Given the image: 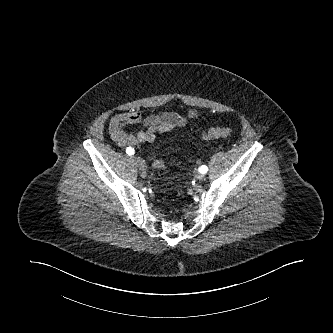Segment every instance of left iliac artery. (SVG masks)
<instances>
[{
  "mask_svg": "<svg viewBox=\"0 0 333 333\" xmlns=\"http://www.w3.org/2000/svg\"><path fill=\"white\" fill-rule=\"evenodd\" d=\"M207 171H208V167L207 166L202 165V166L199 167V172L200 173L205 174V173H207Z\"/></svg>",
  "mask_w": 333,
  "mask_h": 333,
  "instance_id": "obj_1",
  "label": "left iliac artery"
}]
</instances>
